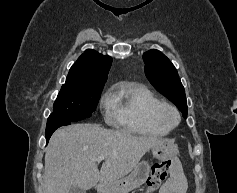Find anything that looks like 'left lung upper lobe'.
<instances>
[{
  "label": "left lung upper lobe",
  "mask_w": 237,
  "mask_h": 193,
  "mask_svg": "<svg viewBox=\"0 0 237 193\" xmlns=\"http://www.w3.org/2000/svg\"><path fill=\"white\" fill-rule=\"evenodd\" d=\"M146 77L165 97L171 100L182 112L187 115V102L184 87L178 77L176 68L171 61L160 51L152 49L143 54Z\"/></svg>",
  "instance_id": "1"
}]
</instances>
